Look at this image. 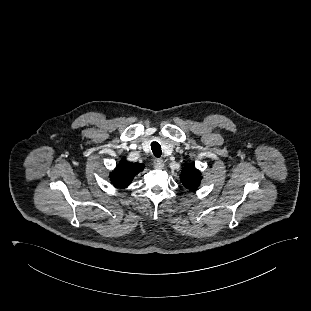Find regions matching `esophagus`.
Wrapping results in <instances>:
<instances>
[{
	"label": "esophagus",
	"instance_id": "34e87169",
	"mask_svg": "<svg viewBox=\"0 0 311 311\" xmlns=\"http://www.w3.org/2000/svg\"><path fill=\"white\" fill-rule=\"evenodd\" d=\"M153 164L155 168L161 169L164 167V161L162 159H155Z\"/></svg>",
	"mask_w": 311,
	"mask_h": 311
}]
</instances>
